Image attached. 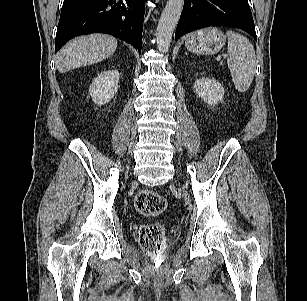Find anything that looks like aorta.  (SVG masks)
<instances>
[{"instance_id": "aorta-1", "label": "aorta", "mask_w": 307, "mask_h": 301, "mask_svg": "<svg viewBox=\"0 0 307 301\" xmlns=\"http://www.w3.org/2000/svg\"><path fill=\"white\" fill-rule=\"evenodd\" d=\"M184 0H168L161 14L156 30L157 48L160 52H167L174 29L179 21Z\"/></svg>"}]
</instances>
